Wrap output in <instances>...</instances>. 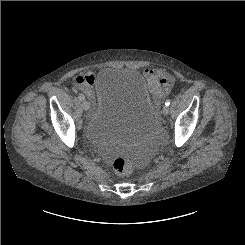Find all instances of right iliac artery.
<instances>
[{
	"instance_id": "right-iliac-artery-1",
	"label": "right iliac artery",
	"mask_w": 245,
	"mask_h": 245,
	"mask_svg": "<svg viewBox=\"0 0 245 245\" xmlns=\"http://www.w3.org/2000/svg\"><path fill=\"white\" fill-rule=\"evenodd\" d=\"M78 98H79L80 101H83L84 100V96L81 95V94L78 96Z\"/></svg>"
}]
</instances>
